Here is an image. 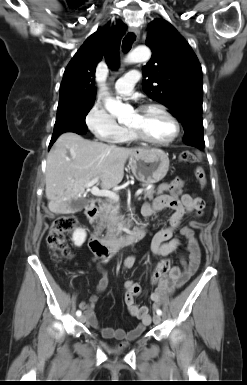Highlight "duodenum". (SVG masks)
I'll use <instances>...</instances> for the list:
<instances>
[{
    "label": "duodenum",
    "mask_w": 247,
    "mask_h": 385,
    "mask_svg": "<svg viewBox=\"0 0 247 385\" xmlns=\"http://www.w3.org/2000/svg\"><path fill=\"white\" fill-rule=\"evenodd\" d=\"M97 207H89L85 214L90 223H94L98 216ZM147 232V225L143 224L136 227L131 232L118 236L110 241L101 239L98 235H93L89 239V247L91 251L97 256L109 258L116 254L123 246L135 243L142 239Z\"/></svg>",
    "instance_id": "obj_1"
}]
</instances>
